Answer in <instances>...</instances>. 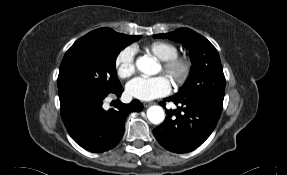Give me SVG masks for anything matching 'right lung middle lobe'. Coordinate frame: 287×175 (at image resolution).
<instances>
[{
	"mask_svg": "<svg viewBox=\"0 0 287 175\" xmlns=\"http://www.w3.org/2000/svg\"><path fill=\"white\" fill-rule=\"evenodd\" d=\"M99 28L77 40L66 52L59 69V98L72 93L108 95L122 88L115 62L126 46L140 39Z\"/></svg>",
	"mask_w": 287,
	"mask_h": 175,
	"instance_id": "1",
	"label": "right lung middle lobe"
}]
</instances>
